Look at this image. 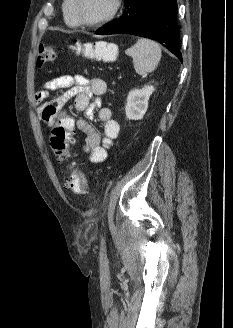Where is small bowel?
Returning a JSON list of instances; mask_svg holds the SVG:
<instances>
[{
	"mask_svg": "<svg viewBox=\"0 0 233 328\" xmlns=\"http://www.w3.org/2000/svg\"><path fill=\"white\" fill-rule=\"evenodd\" d=\"M58 89H65V92L57 99L47 102L49 93ZM105 92L106 83L100 78L64 75L46 82L35 94L39 117L49 127L53 126L57 114L67 100L74 98L75 109L85 114V118L75 122V127L85 135L83 150L92 163H101L106 159L108 150L120 132L119 123L112 118L111 110L102 106L101 100ZM95 115L103 123V135L91 124Z\"/></svg>",
	"mask_w": 233,
	"mask_h": 328,
	"instance_id": "1",
	"label": "small bowel"
}]
</instances>
